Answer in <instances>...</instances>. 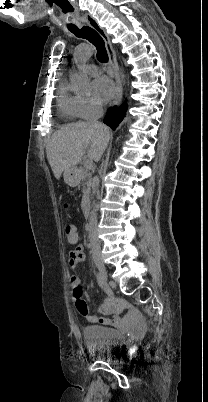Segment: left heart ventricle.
Returning <instances> with one entry per match:
<instances>
[{
  "instance_id": "obj_1",
  "label": "left heart ventricle",
  "mask_w": 208,
  "mask_h": 402,
  "mask_svg": "<svg viewBox=\"0 0 208 402\" xmlns=\"http://www.w3.org/2000/svg\"><path fill=\"white\" fill-rule=\"evenodd\" d=\"M91 93H92L93 95H95V96L98 95V93L95 91V89H92V88H91Z\"/></svg>"
}]
</instances>
